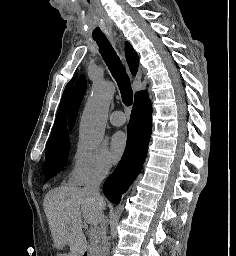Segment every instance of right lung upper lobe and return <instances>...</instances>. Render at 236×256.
Here are the masks:
<instances>
[{
    "instance_id": "obj_1",
    "label": "right lung upper lobe",
    "mask_w": 236,
    "mask_h": 256,
    "mask_svg": "<svg viewBox=\"0 0 236 256\" xmlns=\"http://www.w3.org/2000/svg\"><path fill=\"white\" fill-rule=\"evenodd\" d=\"M125 54L130 71L133 75H135L138 70V55L128 42L125 43ZM73 82L74 79H72L65 87L61 103L59 106V110L57 113V117L54 123V127L52 130V134L48 142L57 141L68 137V131L66 127V107ZM139 93L140 92H137L135 96H137Z\"/></svg>"
}]
</instances>
